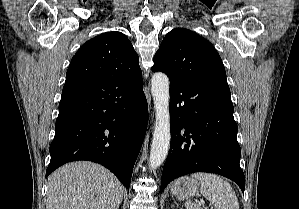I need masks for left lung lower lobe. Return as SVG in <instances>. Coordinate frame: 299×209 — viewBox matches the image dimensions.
<instances>
[{
	"mask_svg": "<svg viewBox=\"0 0 299 209\" xmlns=\"http://www.w3.org/2000/svg\"><path fill=\"white\" fill-rule=\"evenodd\" d=\"M228 85L207 81H170L172 132L161 192L175 178L192 172L225 176L245 189L239 161L237 124Z\"/></svg>",
	"mask_w": 299,
	"mask_h": 209,
	"instance_id": "0a47b994",
	"label": "left lung lower lobe"
}]
</instances>
